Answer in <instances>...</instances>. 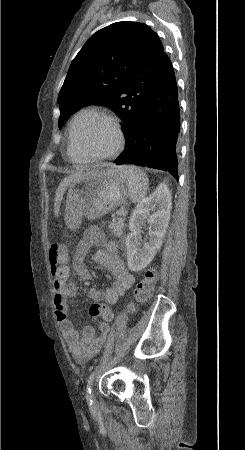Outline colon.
I'll return each instance as SVG.
<instances>
[{"mask_svg": "<svg viewBox=\"0 0 245 450\" xmlns=\"http://www.w3.org/2000/svg\"><path fill=\"white\" fill-rule=\"evenodd\" d=\"M49 258L50 265L53 270L63 264L64 254L60 245L53 244L51 246L49 250ZM155 279L156 271L154 269H148L145 271L143 279L134 288L131 308H133L135 304H143L151 299L154 292ZM89 313L94 320L105 322L112 320L114 316L110 306L103 302L93 303L90 306Z\"/></svg>", "mask_w": 245, "mask_h": 450, "instance_id": "colon-1", "label": "colon"}]
</instances>
